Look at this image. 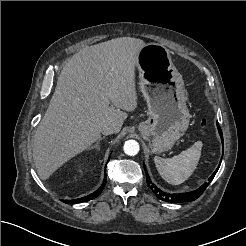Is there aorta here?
Returning <instances> with one entry per match:
<instances>
[{"label":"aorta","instance_id":"762f6f07","mask_svg":"<svg viewBox=\"0 0 246 246\" xmlns=\"http://www.w3.org/2000/svg\"><path fill=\"white\" fill-rule=\"evenodd\" d=\"M123 148L127 155L135 156L139 152V143L135 140H127Z\"/></svg>","mask_w":246,"mask_h":246}]
</instances>
